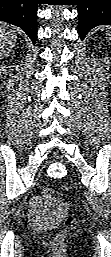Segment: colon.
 <instances>
[{
    "instance_id": "1",
    "label": "colon",
    "mask_w": 111,
    "mask_h": 257,
    "mask_svg": "<svg viewBox=\"0 0 111 257\" xmlns=\"http://www.w3.org/2000/svg\"><path fill=\"white\" fill-rule=\"evenodd\" d=\"M39 200L49 202V204L55 210H63L64 207L61 203L54 200V190L52 188H43L39 196ZM62 222L64 226H69L72 223V216L70 214H64L62 216ZM63 240V233H59L55 236L54 242L59 244Z\"/></svg>"
}]
</instances>
